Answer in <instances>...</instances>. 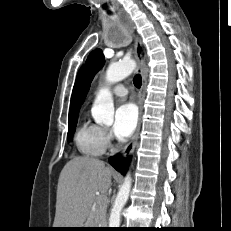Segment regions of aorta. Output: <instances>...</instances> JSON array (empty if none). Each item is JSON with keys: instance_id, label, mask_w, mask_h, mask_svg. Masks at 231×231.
Masks as SVG:
<instances>
[{"instance_id": "762f6f07", "label": "aorta", "mask_w": 231, "mask_h": 231, "mask_svg": "<svg viewBox=\"0 0 231 231\" xmlns=\"http://www.w3.org/2000/svg\"><path fill=\"white\" fill-rule=\"evenodd\" d=\"M136 62L131 59H124L113 62L106 71V81L109 84L117 83L128 77L135 69ZM92 116L96 123L111 125L114 121V103L112 94L107 88L99 91L92 108ZM131 176L127 174L121 185L110 213L109 227L119 228L122 208L128 200L131 189Z\"/></svg>"}]
</instances>
